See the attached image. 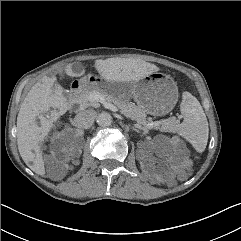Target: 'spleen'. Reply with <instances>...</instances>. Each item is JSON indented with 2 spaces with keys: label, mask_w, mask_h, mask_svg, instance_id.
Masks as SVG:
<instances>
[{
  "label": "spleen",
  "mask_w": 241,
  "mask_h": 241,
  "mask_svg": "<svg viewBox=\"0 0 241 241\" xmlns=\"http://www.w3.org/2000/svg\"><path fill=\"white\" fill-rule=\"evenodd\" d=\"M180 110L183 122L173 131L189 141L198 152H203L208 141V121L199 101L189 92H184Z\"/></svg>",
  "instance_id": "obj_1"
}]
</instances>
